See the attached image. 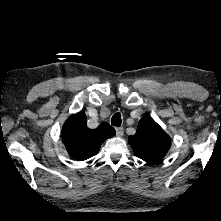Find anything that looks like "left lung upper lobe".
<instances>
[{
  "mask_svg": "<svg viewBox=\"0 0 221 221\" xmlns=\"http://www.w3.org/2000/svg\"><path fill=\"white\" fill-rule=\"evenodd\" d=\"M134 154L154 164L160 161L170 148L171 138L150 117H143L138 124L135 135L128 138Z\"/></svg>",
  "mask_w": 221,
  "mask_h": 221,
  "instance_id": "5c2ea615",
  "label": "left lung upper lobe"
}]
</instances>
